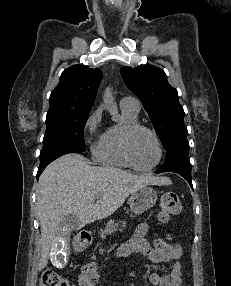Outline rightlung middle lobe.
<instances>
[{
	"mask_svg": "<svg viewBox=\"0 0 231 286\" xmlns=\"http://www.w3.org/2000/svg\"><path fill=\"white\" fill-rule=\"evenodd\" d=\"M90 110L49 109L40 159L58 150L85 151L84 127Z\"/></svg>",
	"mask_w": 231,
	"mask_h": 286,
	"instance_id": "1",
	"label": "right lung middle lobe"
}]
</instances>
